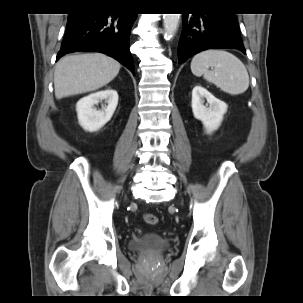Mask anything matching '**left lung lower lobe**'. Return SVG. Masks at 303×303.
Masks as SVG:
<instances>
[{
	"label": "left lung lower lobe",
	"instance_id": "1",
	"mask_svg": "<svg viewBox=\"0 0 303 303\" xmlns=\"http://www.w3.org/2000/svg\"><path fill=\"white\" fill-rule=\"evenodd\" d=\"M212 48H233L246 54L236 14H183V29L178 45L179 62Z\"/></svg>",
	"mask_w": 303,
	"mask_h": 303
}]
</instances>
